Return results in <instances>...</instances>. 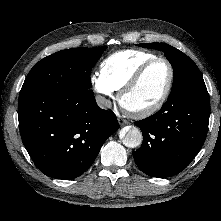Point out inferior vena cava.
I'll return each instance as SVG.
<instances>
[{"mask_svg":"<svg viewBox=\"0 0 221 221\" xmlns=\"http://www.w3.org/2000/svg\"><path fill=\"white\" fill-rule=\"evenodd\" d=\"M97 104L101 107V108H110L112 103L110 100L106 99L103 96H98L97 97Z\"/></svg>","mask_w":221,"mask_h":221,"instance_id":"inferior-vena-cava-1","label":"inferior vena cava"}]
</instances>
